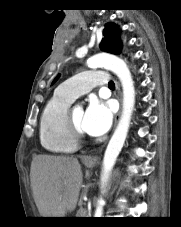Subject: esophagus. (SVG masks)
Listing matches in <instances>:
<instances>
[{
	"instance_id": "esophagus-1",
	"label": "esophagus",
	"mask_w": 181,
	"mask_h": 227,
	"mask_svg": "<svg viewBox=\"0 0 181 227\" xmlns=\"http://www.w3.org/2000/svg\"><path fill=\"white\" fill-rule=\"evenodd\" d=\"M115 95L117 97V99L119 100V103H120V109H119V112L117 113L116 117H115V125H117L119 119H120V115H121V111H122V93H121V89H120V85L118 82H116V90H115ZM102 150V148L100 149V151ZM83 160L85 162H92L94 160L93 156L92 155H87V156H84Z\"/></svg>"
}]
</instances>
